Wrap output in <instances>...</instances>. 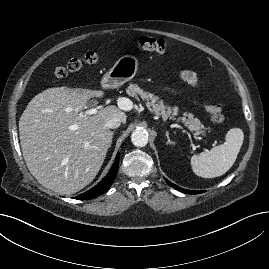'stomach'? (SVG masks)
<instances>
[{
    "instance_id": "0dacf381",
    "label": "stomach",
    "mask_w": 269,
    "mask_h": 269,
    "mask_svg": "<svg viewBox=\"0 0 269 269\" xmlns=\"http://www.w3.org/2000/svg\"><path fill=\"white\" fill-rule=\"evenodd\" d=\"M139 60L134 55L120 57L114 66L102 78L101 85L104 89L117 88L132 80L137 74Z\"/></svg>"
}]
</instances>
